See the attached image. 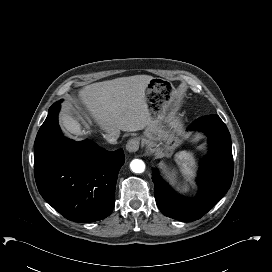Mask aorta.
I'll return each instance as SVG.
<instances>
[{
    "label": "aorta",
    "instance_id": "obj_1",
    "mask_svg": "<svg viewBox=\"0 0 272 272\" xmlns=\"http://www.w3.org/2000/svg\"><path fill=\"white\" fill-rule=\"evenodd\" d=\"M130 168L134 173H142L145 170V163L140 159H134L130 163Z\"/></svg>",
    "mask_w": 272,
    "mask_h": 272
}]
</instances>
